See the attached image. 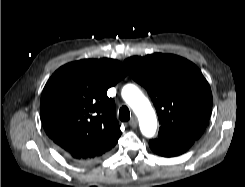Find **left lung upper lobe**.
Instances as JSON below:
<instances>
[{
  "label": "left lung upper lobe",
  "mask_w": 245,
  "mask_h": 187,
  "mask_svg": "<svg viewBox=\"0 0 245 187\" xmlns=\"http://www.w3.org/2000/svg\"><path fill=\"white\" fill-rule=\"evenodd\" d=\"M124 64L151 96L161 125L157 139L201 137L211 115L212 93L196 65L162 53L130 57Z\"/></svg>",
  "instance_id": "5c2ea615"
}]
</instances>
